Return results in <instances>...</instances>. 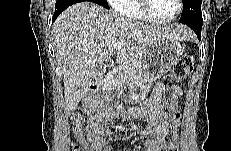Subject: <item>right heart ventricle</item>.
<instances>
[{"mask_svg":"<svg viewBox=\"0 0 231 151\" xmlns=\"http://www.w3.org/2000/svg\"><path fill=\"white\" fill-rule=\"evenodd\" d=\"M117 11L121 12L132 21H148L141 12L138 0H123L119 4Z\"/></svg>","mask_w":231,"mask_h":151,"instance_id":"obj_1","label":"right heart ventricle"}]
</instances>
